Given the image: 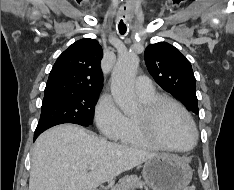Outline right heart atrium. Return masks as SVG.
Here are the masks:
<instances>
[{"instance_id":"obj_1","label":"right heart atrium","mask_w":234,"mask_h":190,"mask_svg":"<svg viewBox=\"0 0 234 190\" xmlns=\"http://www.w3.org/2000/svg\"><path fill=\"white\" fill-rule=\"evenodd\" d=\"M94 118L101 133L110 139H117L126 123V116L109 94L102 95L98 100Z\"/></svg>"}]
</instances>
